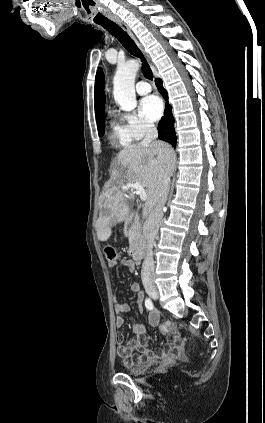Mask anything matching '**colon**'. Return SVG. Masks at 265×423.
I'll list each match as a JSON object with an SVG mask.
<instances>
[{"label": "colon", "mask_w": 265, "mask_h": 423, "mask_svg": "<svg viewBox=\"0 0 265 423\" xmlns=\"http://www.w3.org/2000/svg\"><path fill=\"white\" fill-rule=\"evenodd\" d=\"M104 254L108 261H114L117 259L118 253L113 246H106L104 248ZM177 329V325L172 321H165L161 326L160 330L163 333L170 332Z\"/></svg>", "instance_id": "colon-1"}]
</instances>
